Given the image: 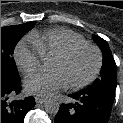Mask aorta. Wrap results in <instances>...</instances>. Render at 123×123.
<instances>
[{
    "label": "aorta",
    "mask_w": 123,
    "mask_h": 123,
    "mask_svg": "<svg viewBox=\"0 0 123 123\" xmlns=\"http://www.w3.org/2000/svg\"><path fill=\"white\" fill-rule=\"evenodd\" d=\"M60 104L55 99H47L44 102V109L47 113L56 114L59 111Z\"/></svg>",
    "instance_id": "1"
}]
</instances>
